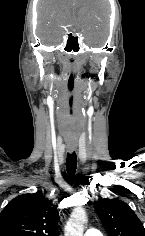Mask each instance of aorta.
Masks as SVG:
<instances>
[{"mask_svg": "<svg viewBox=\"0 0 145 236\" xmlns=\"http://www.w3.org/2000/svg\"><path fill=\"white\" fill-rule=\"evenodd\" d=\"M86 220L85 209L82 206L74 208L67 223L65 236H83Z\"/></svg>", "mask_w": 145, "mask_h": 236, "instance_id": "obj_1", "label": "aorta"}]
</instances>
